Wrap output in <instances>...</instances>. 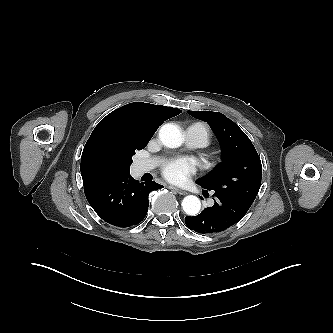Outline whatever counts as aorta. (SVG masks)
<instances>
[{
    "mask_svg": "<svg viewBox=\"0 0 333 333\" xmlns=\"http://www.w3.org/2000/svg\"><path fill=\"white\" fill-rule=\"evenodd\" d=\"M159 138L169 148L181 146L184 139L179 127L173 123H167L160 128ZM182 207L187 215L195 216L201 209V201L194 195H188L183 199Z\"/></svg>",
    "mask_w": 333,
    "mask_h": 333,
    "instance_id": "762f6f07",
    "label": "aorta"
}]
</instances>
